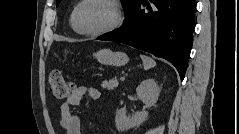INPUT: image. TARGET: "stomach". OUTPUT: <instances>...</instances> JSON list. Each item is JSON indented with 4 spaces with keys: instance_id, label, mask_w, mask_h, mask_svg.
<instances>
[{
    "instance_id": "obj_1",
    "label": "stomach",
    "mask_w": 239,
    "mask_h": 134,
    "mask_svg": "<svg viewBox=\"0 0 239 134\" xmlns=\"http://www.w3.org/2000/svg\"><path fill=\"white\" fill-rule=\"evenodd\" d=\"M93 56L98 60L99 63L110 66H123L127 64L129 58L123 52H113L108 48L101 49Z\"/></svg>"
}]
</instances>
